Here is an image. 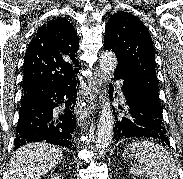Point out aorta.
I'll list each match as a JSON object with an SVG mask.
<instances>
[{"mask_svg": "<svg viewBox=\"0 0 183 179\" xmlns=\"http://www.w3.org/2000/svg\"><path fill=\"white\" fill-rule=\"evenodd\" d=\"M117 66V58L112 51H103L100 56V68L104 75H112ZM114 117L111 110L109 99H104L102 110L99 117L96 151L102 156L109 149L113 137Z\"/></svg>", "mask_w": 183, "mask_h": 179, "instance_id": "obj_1", "label": "aorta"}]
</instances>
